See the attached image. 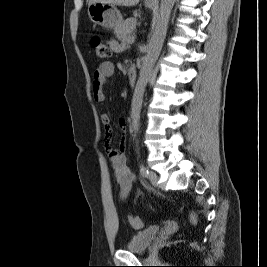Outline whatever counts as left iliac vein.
<instances>
[{"instance_id": "left-iliac-vein-1", "label": "left iliac vein", "mask_w": 267, "mask_h": 267, "mask_svg": "<svg viewBox=\"0 0 267 267\" xmlns=\"http://www.w3.org/2000/svg\"><path fill=\"white\" fill-rule=\"evenodd\" d=\"M148 179L152 185L158 186L159 176L157 175L156 172L150 171L148 174Z\"/></svg>"}]
</instances>
